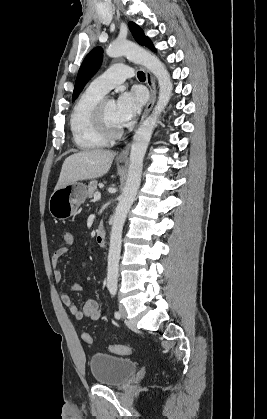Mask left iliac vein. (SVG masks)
I'll use <instances>...</instances> for the list:
<instances>
[{"label": "left iliac vein", "mask_w": 267, "mask_h": 419, "mask_svg": "<svg viewBox=\"0 0 267 419\" xmlns=\"http://www.w3.org/2000/svg\"><path fill=\"white\" fill-rule=\"evenodd\" d=\"M119 312H120L121 316L125 319L126 324L128 326H130V323L126 320V318H127V312H126V309H125V307L123 305H120L119 306Z\"/></svg>", "instance_id": "obj_1"}]
</instances>
